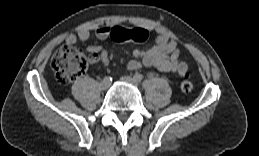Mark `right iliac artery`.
I'll return each mask as SVG.
<instances>
[{
    "instance_id": "1",
    "label": "right iliac artery",
    "mask_w": 259,
    "mask_h": 156,
    "mask_svg": "<svg viewBox=\"0 0 259 156\" xmlns=\"http://www.w3.org/2000/svg\"><path fill=\"white\" fill-rule=\"evenodd\" d=\"M104 80L111 81V80H112V78H111V77H109V76H106V77L104 78Z\"/></svg>"
}]
</instances>
